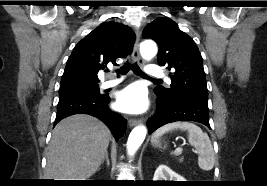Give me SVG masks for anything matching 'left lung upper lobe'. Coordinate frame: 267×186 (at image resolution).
<instances>
[{
    "mask_svg": "<svg viewBox=\"0 0 267 186\" xmlns=\"http://www.w3.org/2000/svg\"><path fill=\"white\" fill-rule=\"evenodd\" d=\"M142 35L159 45L158 63L172 71L171 87H156L157 96L207 101L203 59L193 39L170 18H157L144 28Z\"/></svg>",
    "mask_w": 267,
    "mask_h": 186,
    "instance_id": "left-lung-upper-lobe-1",
    "label": "left lung upper lobe"
}]
</instances>
